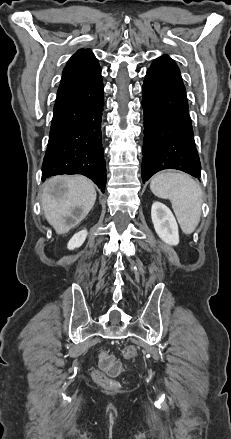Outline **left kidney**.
Wrapping results in <instances>:
<instances>
[{
	"instance_id": "1",
	"label": "left kidney",
	"mask_w": 231,
	"mask_h": 439,
	"mask_svg": "<svg viewBox=\"0 0 231 439\" xmlns=\"http://www.w3.org/2000/svg\"><path fill=\"white\" fill-rule=\"evenodd\" d=\"M151 218L160 239L168 245H178V225L171 210L161 202H154L151 208Z\"/></svg>"
}]
</instances>
